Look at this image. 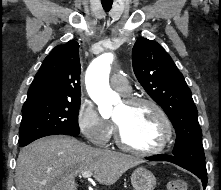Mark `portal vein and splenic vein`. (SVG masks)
I'll return each mask as SVG.
<instances>
[{
  "label": "portal vein and splenic vein",
  "instance_id": "18ae733b",
  "mask_svg": "<svg viewBox=\"0 0 221 190\" xmlns=\"http://www.w3.org/2000/svg\"><path fill=\"white\" fill-rule=\"evenodd\" d=\"M81 175L83 178H90L93 175V173L89 171H85Z\"/></svg>",
  "mask_w": 221,
  "mask_h": 190
}]
</instances>
